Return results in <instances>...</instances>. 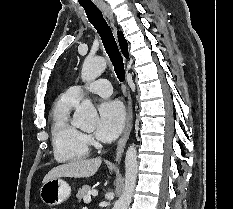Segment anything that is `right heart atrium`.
I'll return each mask as SVG.
<instances>
[{
	"label": "right heart atrium",
	"instance_id": "obj_1",
	"mask_svg": "<svg viewBox=\"0 0 233 209\" xmlns=\"http://www.w3.org/2000/svg\"><path fill=\"white\" fill-rule=\"evenodd\" d=\"M84 139H85V141H86L88 144H92V143H93L92 137H91L90 135H88V134H85V135H84Z\"/></svg>",
	"mask_w": 233,
	"mask_h": 209
}]
</instances>
